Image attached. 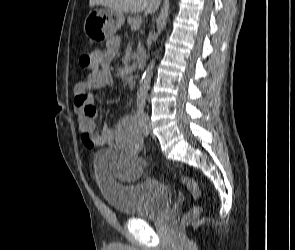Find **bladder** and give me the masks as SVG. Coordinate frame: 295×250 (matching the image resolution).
I'll list each match as a JSON object with an SVG mask.
<instances>
[{"label": "bladder", "instance_id": "1", "mask_svg": "<svg viewBox=\"0 0 295 250\" xmlns=\"http://www.w3.org/2000/svg\"><path fill=\"white\" fill-rule=\"evenodd\" d=\"M118 161L116 152L111 149L94 155L96 180L106 201L128 219H160L171 204L169 187L153 177H143L129 184L119 182Z\"/></svg>", "mask_w": 295, "mask_h": 250}]
</instances>
